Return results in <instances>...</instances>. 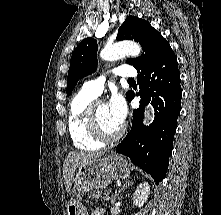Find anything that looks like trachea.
<instances>
[{
	"label": "trachea",
	"mask_w": 221,
	"mask_h": 215,
	"mask_svg": "<svg viewBox=\"0 0 221 215\" xmlns=\"http://www.w3.org/2000/svg\"><path fill=\"white\" fill-rule=\"evenodd\" d=\"M128 81H129V82H134V79H129Z\"/></svg>",
	"instance_id": "3493384b"
}]
</instances>
